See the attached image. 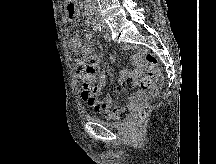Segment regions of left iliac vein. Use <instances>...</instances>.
Wrapping results in <instances>:
<instances>
[{"label": "left iliac vein", "instance_id": "1", "mask_svg": "<svg viewBox=\"0 0 216 164\" xmlns=\"http://www.w3.org/2000/svg\"><path fill=\"white\" fill-rule=\"evenodd\" d=\"M101 23H102L103 28H106V23L103 20H101Z\"/></svg>", "mask_w": 216, "mask_h": 164}]
</instances>
